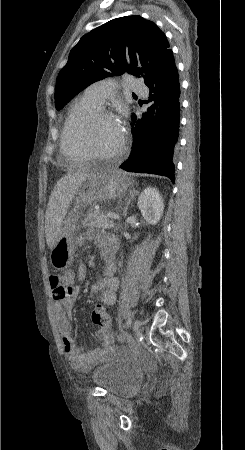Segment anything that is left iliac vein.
Returning a JSON list of instances; mask_svg holds the SVG:
<instances>
[{
	"instance_id": "4c4485c4",
	"label": "left iliac vein",
	"mask_w": 245,
	"mask_h": 450,
	"mask_svg": "<svg viewBox=\"0 0 245 450\" xmlns=\"http://www.w3.org/2000/svg\"><path fill=\"white\" fill-rule=\"evenodd\" d=\"M141 327V320H136L134 325H133V331L134 332H138L140 330Z\"/></svg>"
}]
</instances>
